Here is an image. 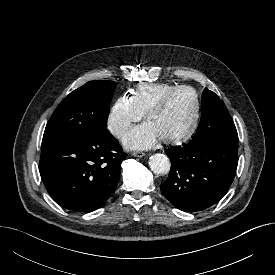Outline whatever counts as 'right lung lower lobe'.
Instances as JSON below:
<instances>
[{
	"label": "right lung lower lobe",
	"instance_id": "98d812e1",
	"mask_svg": "<svg viewBox=\"0 0 275 275\" xmlns=\"http://www.w3.org/2000/svg\"><path fill=\"white\" fill-rule=\"evenodd\" d=\"M126 156L108 131L84 138H47L42 140L39 171L56 203L91 212L115 191Z\"/></svg>",
	"mask_w": 275,
	"mask_h": 275
}]
</instances>
